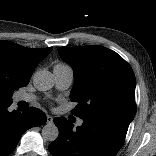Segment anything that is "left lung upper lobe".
<instances>
[{"label":"left lung upper lobe","mask_w":156,"mask_h":156,"mask_svg":"<svg viewBox=\"0 0 156 156\" xmlns=\"http://www.w3.org/2000/svg\"><path fill=\"white\" fill-rule=\"evenodd\" d=\"M74 70L72 113L81 119L113 118L127 125L136 113L135 76L129 64L103 46L59 47Z\"/></svg>","instance_id":"obj_1"}]
</instances>
